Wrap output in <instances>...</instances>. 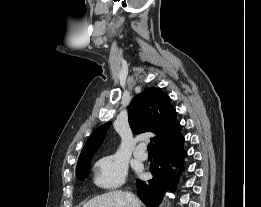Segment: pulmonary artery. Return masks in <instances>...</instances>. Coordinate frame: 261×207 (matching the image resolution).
<instances>
[{
  "mask_svg": "<svg viewBox=\"0 0 261 207\" xmlns=\"http://www.w3.org/2000/svg\"><path fill=\"white\" fill-rule=\"evenodd\" d=\"M134 155H135L136 158H138L140 160H146L147 159V153L145 151V145L139 144L134 150Z\"/></svg>",
  "mask_w": 261,
  "mask_h": 207,
  "instance_id": "e3ab8cb5",
  "label": "pulmonary artery"
}]
</instances>
